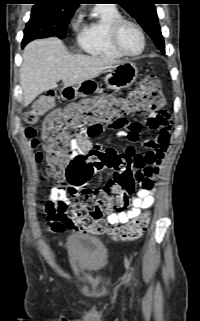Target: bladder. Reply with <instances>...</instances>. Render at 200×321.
Returning a JSON list of instances; mask_svg holds the SVG:
<instances>
[{
  "label": "bladder",
  "mask_w": 200,
  "mask_h": 321,
  "mask_svg": "<svg viewBox=\"0 0 200 321\" xmlns=\"http://www.w3.org/2000/svg\"><path fill=\"white\" fill-rule=\"evenodd\" d=\"M70 258L80 268L95 272L101 270L109 258V249L100 239L89 234L73 232L66 238Z\"/></svg>",
  "instance_id": "31cf9c89"
}]
</instances>
